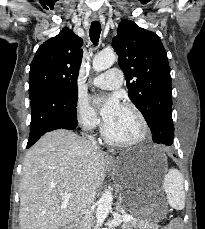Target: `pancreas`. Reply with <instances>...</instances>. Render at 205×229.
I'll use <instances>...</instances> for the list:
<instances>
[{
    "label": "pancreas",
    "mask_w": 205,
    "mask_h": 229,
    "mask_svg": "<svg viewBox=\"0 0 205 229\" xmlns=\"http://www.w3.org/2000/svg\"><path fill=\"white\" fill-rule=\"evenodd\" d=\"M137 226L143 229L145 225L137 221H130V222L124 223L122 226V229H134Z\"/></svg>",
    "instance_id": "1"
}]
</instances>
